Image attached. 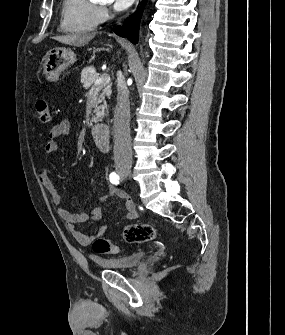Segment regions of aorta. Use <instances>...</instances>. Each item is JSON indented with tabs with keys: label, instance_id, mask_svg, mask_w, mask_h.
I'll return each instance as SVG.
<instances>
[{
	"label": "aorta",
	"instance_id": "1",
	"mask_svg": "<svg viewBox=\"0 0 285 335\" xmlns=\"http://www.w3.org/2000/svg\"><path fill=\"white\" fill-rule=\"evenodd\" d=\"M90 2H94V0H90Z\"/></svg>",
	"mask_w": 285,
	"mask_h": 335
}]
</instances>
